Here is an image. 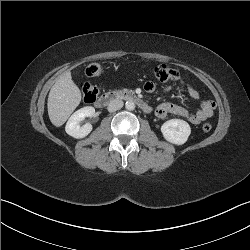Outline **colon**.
Listing matches in <instances>:
<instances>
[{"label":"colon","instance_id":"1","mask_svg":"<svg viewBox=\"0 0 250 250\" xmlns=\"http://www.w3.org/2000/svg\"><path fill=\"white\" fill-rule=\"evenodd\" d=\"M104 71L103 66L98 62H93L88 65L86 68V74L89 77H98ZM150 74L157 80L161 82L167 81H175V82H183V76L176 69L170 68L166 65H158L151 69ZM83 100L86 103H93L98 95L99 88L96 85L84 83L81 85ZM203 131L209 132L212 129V125L209 123H205L202 126Z\"/></svg>","mask_w":250,"mask_h":250}]
</instances>
